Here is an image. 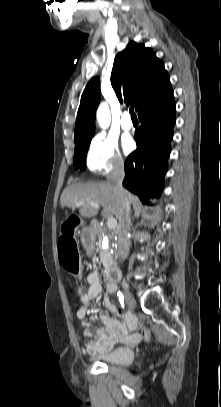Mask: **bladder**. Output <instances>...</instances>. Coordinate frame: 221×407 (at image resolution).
<instances>
[{
  "label": "bladder",
  "instance_id": "31cf9c89",
  "mask_svg": "<svg viewBox=\"0 0 221 407\" xmlns=\"http://www.w3.org/2000/svg\"><path fill=\"white\" fill-rule=\"evenodd\" d=\"M94 358L108 365L126 366L133 362L135 352L130 347H118L112 351L98 354Z\"/></svg>",
  "mask_w": 221,
  "mask_h": 407
}]
</instances>
